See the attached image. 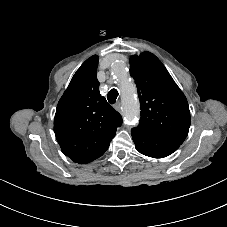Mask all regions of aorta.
<instances>
[{"label": "aorta", "mask_w": 227, "mask_h": 227, "mask_svg": "<svg viewBox=\"0 0 227 227\" xmlns=\"http://www.w3.org/2000/svg\"><path fill=\"white\" fill-rule=\"evenodd\" d=\"M113 77L122 83L124 90V115L129 123H133L139 113L138 103L133 100V85L128 80L126 65L121 61L113 63L112 67Z\"/></svg>", "instance_id": "762f6f07"}]
</instances>
